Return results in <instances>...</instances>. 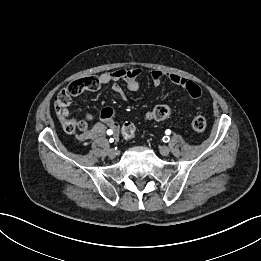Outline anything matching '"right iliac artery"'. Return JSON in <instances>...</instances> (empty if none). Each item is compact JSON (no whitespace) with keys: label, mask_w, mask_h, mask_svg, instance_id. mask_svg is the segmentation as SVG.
Returning <instances> with one entry per match:
<instances>
[{"label":"right iliac artery","mask_w":261,"mask_h":261,"mask_svg":"<svg viewBox=\"0 0 261 261\" xmlns=\"http://www.w3.org/2000/svg\"><path fill=\"white\" fill-rule=\"evenodd\" d=\"M107 134H108V135H111V134H112V131H111V130H108V131H107ZM109 142L113 143V142H114V139H113V138H110V139H109Z\"/></svg>","instance_id":"82829eb1"}]
</instances>
